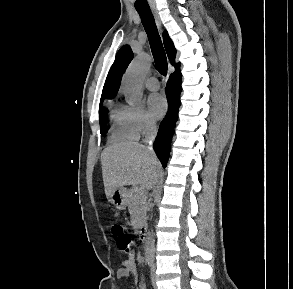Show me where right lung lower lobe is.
Returning <instances> with one entry per match:
<instances>
[{
	"label": "right lung lower lobe",
	"mask_w": 293,
	"mask_h": 289,
	"mask_svg": "<svg viewBox=\"0 0 293 289\" xmlns=\"http://www.w3.org/2000/svg\"><path fill=\"white\" fill-rule=\"evenodd\" d=\"M181 75H171L166 87V96L168 100L169 110L161 122L156 140L154 142V150L162 163L166 167L170 153V142L173 136L175 123L178 119V109L180 106Z\"/></svg>",
	"instance_id": "obj_1"
}]
</instances>
